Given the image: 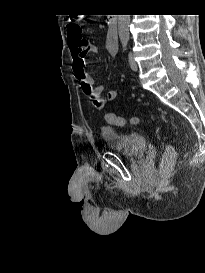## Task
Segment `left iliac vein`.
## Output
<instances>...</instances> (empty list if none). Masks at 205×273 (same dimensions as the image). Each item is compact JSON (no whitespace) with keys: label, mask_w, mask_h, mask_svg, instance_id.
<instances>
[{"label":"left iliac vein","mask_w":205,"mask_h":273,"mask_svg":"<svg viewBox=\"0 0 205 273\" xmlns=\"http://www.w3.org/2000/svg\"><path fill=\"white\" fill-rule=\"evenodd\" d=\"M129 64H130V67L133 71H137L138 70V65L134 59V55L132 52L129 53Z\"/></svg>","instance_id":"obj_1"}]
</instances>
